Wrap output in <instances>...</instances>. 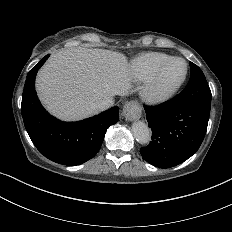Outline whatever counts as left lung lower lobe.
Here are the masks:
<instances>
[{"label": "left lung lower lobe", "mask_w": 232, "mask_h": 232, "mask_svg": "<svg viewBox=\"0 0 232 232\" xmlns=\"http://www.w3.org/2000/svg\"><path fill=\"white\" fill-rule=\"evenodd\" d=\"M144 108L152 141L140 153L148 163L170 168L196 153L206 134L210 111L175 98L157 107Z\"/></svg>", "instance_id": "1"}]
</instances>
